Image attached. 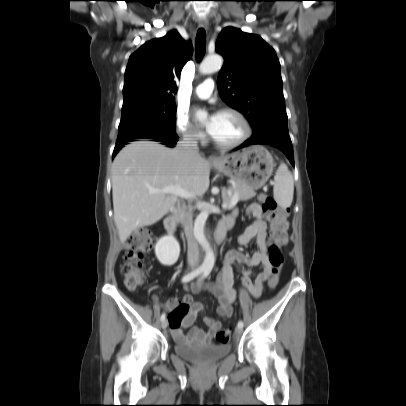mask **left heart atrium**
Instances as JSON below:
<instances>
[{"label":"left heart atrium","mask_w":406,"mask_h":406,"mask_svg":"<svg viewBox=\"0 0 406 406\" xmlns=\"http://www.w3.org/2000/svg\"><path fill=\"white\" fill-rule=\"evenodd\" d=\"M217 113H215V114H212L210 117H209V119H208V130L209 129H211L213 126H214V124H215V122H216V119H217Z\"/></svg>","instance_id":"left-heart-atrium-1"}]
</instances>
